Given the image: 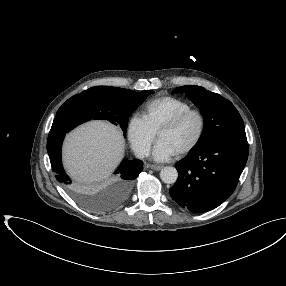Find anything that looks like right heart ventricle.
<instances>
[{
    "mask_svg": "<svg viewBox=\"0 0 286 286\" xmlns=\"http://www.w3.org/2000/svg\"><path fill=\"white\" fill-rule=\"evenodd\" d=\"M189 108L190 103L183 99L163 96L148 101L143 107L142 116L156 133L164 122Z\"/></svg>",
    "mask_w": 286,
    "mask_h": 286,
    "instance_id": "right-heart-ventricle-1",
    "label": "right heart ventricle"
}]
</instances>
